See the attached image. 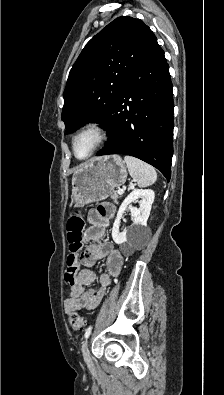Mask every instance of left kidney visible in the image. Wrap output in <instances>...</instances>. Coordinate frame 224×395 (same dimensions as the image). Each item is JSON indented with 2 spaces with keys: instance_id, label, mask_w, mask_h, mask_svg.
<instances>
[{
  "instance_id": "5707ae66",
  "label": "left kidney",
  "mask_w": 224,
  "mask_h": 395,
  "mask_svg": "<svg viewBox=\"0 0 224 395\" xmlns=\"http://www.w3.org/2000/svg\"><path fill=\"white\" fill-rule=\"evenodd\" d=\"M155 193L151 189H134L121 204L117 217L114 221L112 228V238L116 244H123L127 242V237L138 239L144 234L145 227L147 225V220L150 215L152 203L154 201ZM138 199L140 200V207L135 208L130 204ZM129 209L133 217V224L124 230L119 231L121 218L125 210Z\"/></svg>"
}]
</instances>
